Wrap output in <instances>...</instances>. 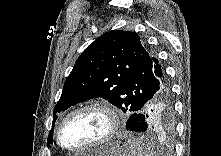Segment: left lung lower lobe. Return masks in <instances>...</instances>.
Instances as JSON below:
<instances>
[{
  "mask_svg": "<svg viewBox=\"0 0 221 156\" xmlns=\"http://www.w3.org/2000/svg\"><path fill=\"white\" fill-rule=\"evenodd\" d=\"M174 128L173 96L170 83L163 73L157 77L153 97L130 115L126 129L132 132L172 135Z\"/></svg>",
  "mask_w": 221,
  "mask_h": 156,
  "instance_id": "left-lung-lower-lobe-1",
  "label": "left lung lower lobe"
}]
</instances>
